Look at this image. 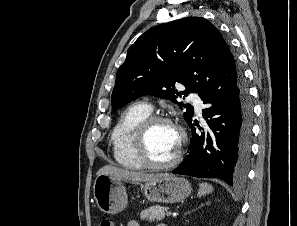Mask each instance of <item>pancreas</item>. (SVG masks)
Wrapping results in <instances>:
<instances>
[{
    "label": "pancreas",
    "instance_id": "pancreas-1",
    "mask_svg": "<svg viewBox=\"0 0 297 226\" xmlns=\"http://www.w3.org/2000/svg\"><path fill=\"white\" fill-rule=\"evenodd\" d=\"M166 211V207L159 205L151 206L140 213V218L148 222L161 221L165 216H168Z\"/></svg>",
    "mask_w": 297,
    "mask_h": 226
}]
</instances>
